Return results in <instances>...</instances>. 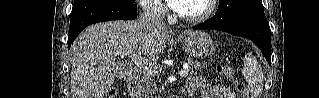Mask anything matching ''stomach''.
I'll use <instances>...</instances> for the list:
<instances>
[{
  "instance_id": "stomach-1",
  "label": "stomach",
  "mask_w": 319,
  "mask_h": 98,
  "mask_svg": "<svg viewBox=\"0 0 319 98\" xmlns=\"http://www.w3.org/2000/svg\"><path fill=\"white\" fill-rule=\"evenodd\" d=\"M183 49L193 58L204 59L214 53L215 46L206 32L188 31L183 37Z\"/></svg>"
}]
</instances>
